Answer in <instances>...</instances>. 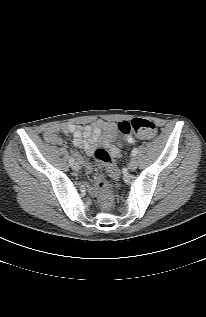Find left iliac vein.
Listing matches in <instances>:
<instances>
[{
  "mask_svg": "<svg viewBox=\"0 0 206 317\" xmlns=\"http://www.w3.org/2000/svg\"><path fill=\"white\" fill-rule=\"evenodd\" d=\"M137 166H138L137 160L135 157H133L128 164V169L130 171H134L137 168Z\"/></svg>",
  "mask_w": 206,
  "mask_h": 317,
  "instance_id": "obj_1",
  "label": "left iliac vein"
}]
</instances>
